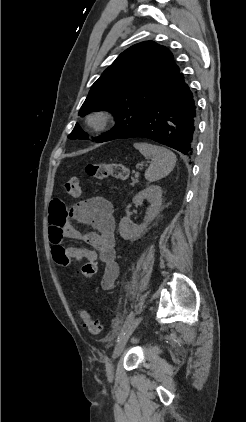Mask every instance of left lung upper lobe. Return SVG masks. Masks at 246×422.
<instances>
[{
  "mask_svg": "<svg viewBox=\"0 0 246 422\" xmlns=\"http://www.w3.org/2000/svg\"><path fill=\"white\" fill-rule=\"evenodd\" d=\"M172 53L153 41L135 44L121 53L93 84L79 115L108 110L116 125L95 138L97 143L117 139L135 125L162 89L179 72ZM70 139H87L76 124Z\"/></svg>",
  "mask_w": 246,
  "mask_h": 422,
  "instance_id": "1",
  "label": "left lung upper lobe"
}]
</instances>
